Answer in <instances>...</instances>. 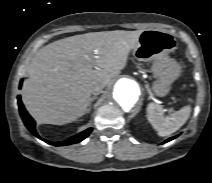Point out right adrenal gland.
I'll return each mask as SVG.
<instances>
[{
    "mask_svg": "<svg viewBox=\"0 0 212 183\" xmlns=\"http://www.w3.org/2000/svg\"><path fill=\"white\" fill-rule=\"evenodd\" d=\"M96 98H97L96 96H93V97L90 98L89 106H88L87 111H86L87 114L90 113L91 106H92V102H93Z\"/></svg>",
    "mask_w": 212,
    "mask_h": 183,
    "instance_id": "2a0ac1e0",
    "label": "right adrenal gland"
}]
</instances>
